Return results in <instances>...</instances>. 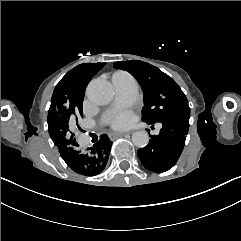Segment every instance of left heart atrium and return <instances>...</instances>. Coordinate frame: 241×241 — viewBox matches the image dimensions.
Instances as JSON below:
<instances>
[{
  "label": "left heart atrium",
  "mask_w": 241,
  "mask_h": 241,
  "mask_svg": "<svg viewBox=\"0 0 241 241\" xmlns=\"http://www.w3.org/2000/svg\"><path fill=\"white\" fill-rule=\"evenodd\" d=\"M132 124L133 118L130 114H123L119 117H115L110 122V126L116 130H125L131 127Z\"/></svg>",
  "instance_id": "1"
}]
</instances>
